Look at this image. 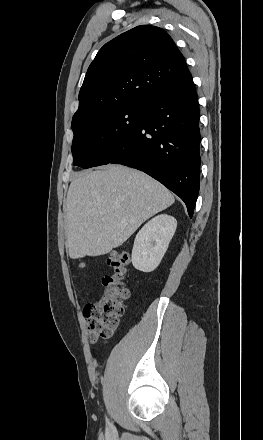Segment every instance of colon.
<instances>
[{"mask_svg": "<svg viewBox=\"0 0 263 440\" xmlns=\"http://www.w3.org/2000/svg\"><path fill=\"white\" fill-rule=\"evenodd\" d=\"M130 263L126 252L113 251L108 255V264L112 275L102 279V293L85 307L84 316L92 340H109L124 313V301L129 297V290L123 278Z\"/></svg>", "mask_w": 263, "mask_h": 440, "instance_id": "5ec220e1", "label": "colon"}]
</instances>
